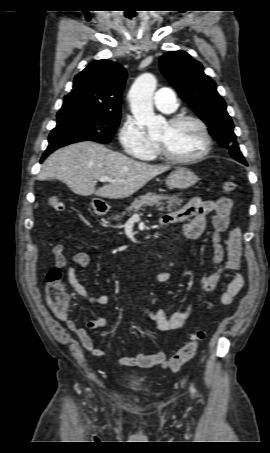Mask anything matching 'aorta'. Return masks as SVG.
I'll use <instances>...</instances> for the list:
<instances>
[{
	"label": "aorta",
	"mask_w": 270,
	"mask_h": 453,
	"mask_svg": "<svg viewBox=\"0 0 270 453\" xmlns=\"http://www.w3.org/2000/svg\"><path fill=\"white\" fill-rule=\"evenodd\" d=\"M156 84L154 75L144 73L135 80L128 94L137 123L146 126L150 135L158 134L165 124V119L156 115L153 109L152 97Z\"/></svg>",
	"instance_id": "aorta-1"
}]
</instances>
